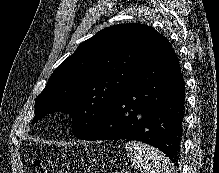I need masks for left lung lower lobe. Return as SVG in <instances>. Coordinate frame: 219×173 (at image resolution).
Returning <instances> with one entry per match:
<instances>
[{"instance_id":"0a47b994","label":"left lung lower lobe","mask_w":219,"mask_h":173,"mask_svg":"<svg viewBox=\"0 0 219 173\" xmlns=\"http://www.w3.org/2000/svg\"><path fill=\"white\" fill-rule=\"evenodd\" d=\"M185 84L166 39L136 73V83L83 140L132 139L161 150L176 165L182 137Z\"/></svg>"}]
</instances>
